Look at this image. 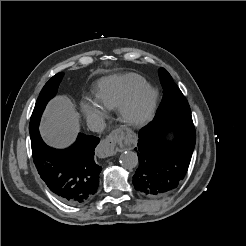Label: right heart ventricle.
<instances>
[{"instance_id": "1", "label": "right heart ventricle", "mask_w": 246, "mask_h": 246, "mask_svg": "<svg viewBox=\"0 0 246 246\" xmlns=\"http://www.w3.org/2000/svg\"><path fill=\"white\" fill-rule=\"evenodd\" d=\"M146 85L147 81L135 73L105 77L98 83L95 98L105 109H117L131 94Z\"/></svg>"}]
</instances>
